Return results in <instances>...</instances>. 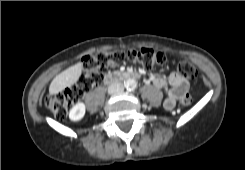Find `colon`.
Wrapping results in <instances>:
<instances>
[{"mask_svg": "<svg viewBox=\"0 0 245 170\" xmlns=\"http://www.w3.org/2000/svg\"><path fill=\"white\" fill-rule=\"evenodd\" d=\"M125 58L143 68L162 65L166 62L163 53L151 49H129L126 53L122 51L100 52L88 56L84 59V70L76 84L62 91L46 94L44 97L45 107L58 117L64 116L72 104L102 82L104 71L118 66ZM178 72L187 78H193L197 74L195 67L188 60H182L179 63ZM180 102L183 105H189L191 98L185 96Z\"/></svg>", "mask_w": 245, "mask_h": 170, "instance_id": "obj_1", "label": "colon"}]
</instances>
